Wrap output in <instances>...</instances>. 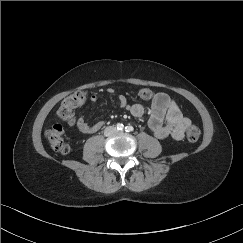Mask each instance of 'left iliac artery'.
<instances>
[{
    "label": "left iliac artery",
    "instance_id": "obj_1",
    "mask_svg": "<svg viewBox=\"0 0 243 243\" xmlns=\"http://www.w3.org/2000/svg\"><path fill=\"white\" fill-rule=\"evenodd\" d=\"M133 130H134V128L132 126H126L125 127L126 132H132Z\"/></svg>",
    "mask_w": 243,
    "mask_h": 243
}]
</instances>
